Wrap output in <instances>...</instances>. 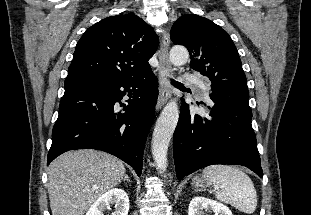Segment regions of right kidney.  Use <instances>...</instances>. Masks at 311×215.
<instances>
[{
    "mask_svg": "<svg viewBox=\"0 0 311 215\" xmlns=\"http://www.w3.org/2000/svg\"><path fill=\"white\" fill-rule=\"evenodd\" d=\"M115 204V212L112 215H128L129 198L126 192L120 188L106 191L89 208L86 215H103V211Z\"/></svg>",
    "mask_w": 311,
    "mask_h": 215,
    "instance_id": "ca27d5eb",
    "label": "right kidney"
}]
</instances>
